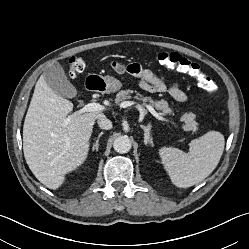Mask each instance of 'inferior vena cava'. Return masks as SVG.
Listing matches in <instances>:
<instances>
[{
	"label": "inferior vena cava",
	"mask_w": 249,
	"mask_h": 249,
	"mask_svg": "<svg viewBox=\"0 0 249 249\" xmlns=\"http://www.w3.org/2000/svg\"><path fill=\"white\" fill-rule=\"evenodd\" d=\"M97 123L101 129L110 130L112 128V122L105 116L98 118Z\"/></svg>",
	"instance_id": "602c4592"
}]
</instances>
